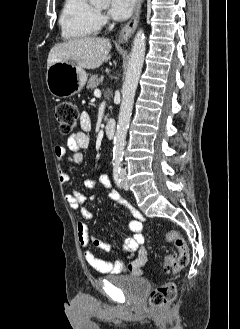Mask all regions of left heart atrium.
Wrapping results in <instances>:
<instances>
[{"label": "left heart atrium", "mask_w": 240, "mask_h": 329, "mask_svg": "<svg viewBox=\"0 0 240 329\" xmlns=\"http://www.w3.org/2000/svg\"><path fill=\"white\" fill-rule=\"evenodd\" d=\"M136 0H111L108 14L116 20L127 19L135 6Z\"/></svg>", "instance_id": "left-heart-atrium-1"}]
</instances>
